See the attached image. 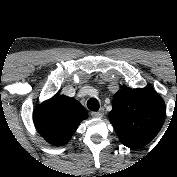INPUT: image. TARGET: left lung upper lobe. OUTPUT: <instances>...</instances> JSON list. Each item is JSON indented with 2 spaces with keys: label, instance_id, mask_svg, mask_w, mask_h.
<instances>
[{
  "label": "left lung upper lobe",
  "instance_id": "obj_1",
  "mask_svg": "<svg viewBox=\"0 0 177 177\" xmlns=\"http://www.w3.org/2000/svg\"><path fill=\"white\" fill-rule=\"evenodd\" d=\"M109 120L121 142L128 147H141L149 143L163 122L162 104L132 92H119L114 96Z\"/></svg>",
  "mask_w": 177,
  "mask_h": 177
}]
</instances>
